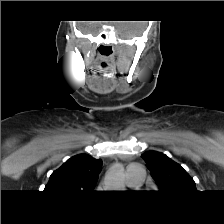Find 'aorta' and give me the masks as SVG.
I'll use <instances>...</instances> for the list:
<instances>
[{"label": "aorta", "instance_id": "aorta-1", "mask_svg": "<svg viewBox=\"0 0 224 224\" xmlns=\"http://www.w3.org/2000/svg\"><path fill=\"white\" fill-rule=\"evenodd\" d=\"M124 187V172L120 164H114L106 177V188L109 190H121Z\"/></svg>", "mask_w": 224, "mask_h": 224}]
</instances>
